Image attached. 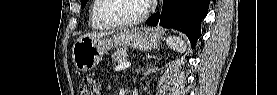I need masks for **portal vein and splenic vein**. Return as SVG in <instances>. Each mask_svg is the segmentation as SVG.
<instances>
[{"label": "portal vein and splenic vein", "instance_id": "portal-vein-and-splenic-vein-1", "mask_svg": "<svg viewBox=\"0 0 277 95\" xmlns=\"http://www.w3.org/2000/svg\"><path fill=\"white\" fill-rule=\"evenodd\" d=\"M131 65L130 62H122L115 67V71H120L128 68Z\"/></svg>", "mask_w": 277, "mask_h": 95}]
</instances>
